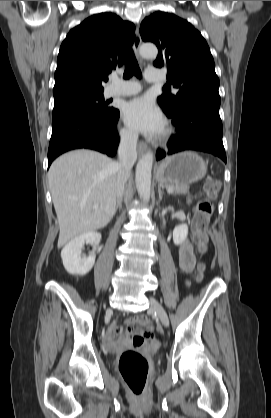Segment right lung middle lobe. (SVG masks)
Listing matches in <instances>:
<instances>
[{
    "instance_id": "obj_1",
    "label": "right lung middle lobe",
    "mask_w": 271,
    "mask_h": 418,
    "mask_svg": "<svg viewBox=\"0 0 271 418\" xmlns=\"http://www.w3.org/2000/svg\"><path fill=\"white\" fill-rule=\"evenodd\" d=\"M108 104L109 102L104 101L103 93L76 95L55 101L52 123L82 114L114 112L116 109Z\"/></svg>"
}]
</instances>
